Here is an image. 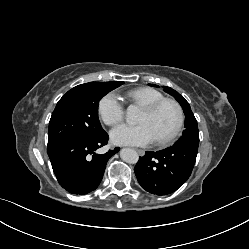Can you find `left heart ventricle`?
Segmentation results:
<instances>
[{"label": "left heart ventricle", "instance_id": "b2bd125f", "mask_svg": "<svg viewBox=\"0 0 249 249\" xmlns=\"http://www.w3.org/2000/svg\"><path fill=\"white\" fill-rule=\"evenodd\" d=\"M177 111L171 104H164L154 113H148L141 109L137 122L146 123L155 140L161 139L167 136L176 126L177 123Z\"/></svg>", "mask_w": 249, "mask_h": 249}]
</instances>
